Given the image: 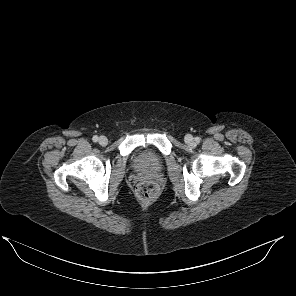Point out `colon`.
<instances>
[{
	"mask_svg": "<svg viewBox=\"0 0 296 296\" xmlns=\"http://www.w3.org/2000/svg\"><path fill=\"white\" fill-rule=\"evenodd\" d=\"M158 186L154 181H143L137 186V194L143 201H150L156 197Z\"/></svg>",
	"mask_w": 296,
	"mask_h": 296,
	"instance_id": "colon-1",
	"label": "colon"
}]
</instances>
